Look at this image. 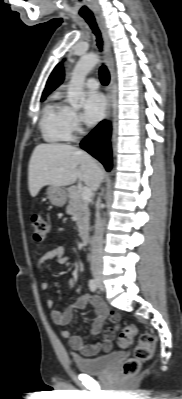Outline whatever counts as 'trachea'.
<instances>
[{"mask_svg":"<svg viewBox=\"0 0 182 399\" xmlns=\"http://www.w3.org/2000/svg\"><path fill=\"white\" fill-rule=\"evenodd\" d=\"M82 17L85 19V21L89 24L91 29L93 30V33L97 37V45L101 49L102 48V39H101V33L100 30L98 29L97 23L95 21V18L93 14H84ZM99 76H100V81L103 85H107L110 81V74L108 69L106 68L105 65H102L99 70Z\"/></svg>","mask_w":182,"mask_h":399,"instance_id":"1","label":"trachea"}]
</instances>
